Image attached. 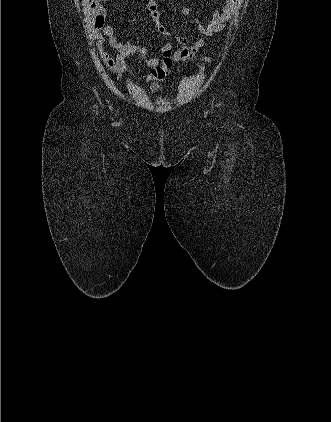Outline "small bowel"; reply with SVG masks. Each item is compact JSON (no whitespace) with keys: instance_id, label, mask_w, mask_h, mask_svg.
<instances>
[{"instance_id":"c3829d8e","label":"small bowel","mask_w":331,"mask_h":422,"mask_svg":"<svg viewBox=\"0 0 331 422\" xmlns=\"http://www.w3.org/2000/svg\"><path fill=\"white\" fill-rule=\"evenodd\" d=\"M104 1L106 0H92L91 4L95 26L94 35L103 61L118 78H124L132 70L125 63V59L128 56H136L149 67L147 80H165L173 64L192 59L204 47L207 37L225 27L240 2V0H222L220 9L214 10L207 22L203 23L196 18V26L192 32L203 37L190 42L185 36L173 34L161 23V16L155 0H145V9L149 12L157 31L170 39V42L166 44L152 45L145 43L139 34L135 36L133 42L120 40L112 24L106 22V10L102 4ZM190 12L189 8L182 10L183 15H188ZM106 44L115 49V57H111L106 51ZM176 44L179 47L173 51ZM150 52H154L152 56H149Z\"/></svg>"}]
</instances>
